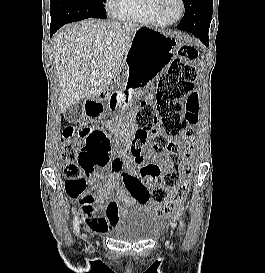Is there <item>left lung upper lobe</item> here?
Masks as SVG:
<instances>
[{"label":"left lung upper lobe","mask_w":265,"mask_h":273,"mask_svg":"<svg viewBox=\"0 0 265 273\" xmlns=\"http://www.w3.org/2000/svg\"><path fill=\"white\" fill-rule=\"evenodd\" d=\"M183 3L185 6V9H187L192 4V0H183ZM211 18H212V7L208 8L205 14L207 27L210 26Z\"/></svg>","instance_id":"obj_1"}]
</instances>
